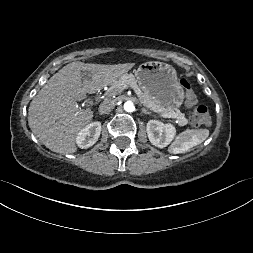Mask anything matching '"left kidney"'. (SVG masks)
Here are the masks:
<instances>
[{
    "mask_svg": "<svg viewBox=\"0 0 253 253\" xmlns=\"http://www.w3.org/2000/svg\"><path fill=\"white\" fill-rule=\"evenodd\" d=\"M150 142L158 147L164 148L173 140L176 129L171 124H164L157 120H150L146 126Z\"/></svg>",
    "mask_w": 253,
    "mask_h": 253,
    "instance_id": "left-kidney-1",
    "label": "left kidney"
}]
</instances>
